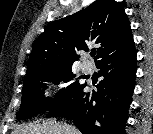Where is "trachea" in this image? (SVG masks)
<instances>
[{
    "mask_svg": "<svg viewBox=\"0 0 153 134\" xmlns=\"http://www.w3.org/2000/svg\"><path fill=\"white\" fill-rule=\"evenodd\" d=\"M90 55H91L92 57H94V56L96 55V51H92V52L90 53Z\"/></svg>",
    "mask_w": 153,
    "mask_h": 134,
    "instance_id": "trachea-1",
    "label": "trachea"
}]
</instances>
